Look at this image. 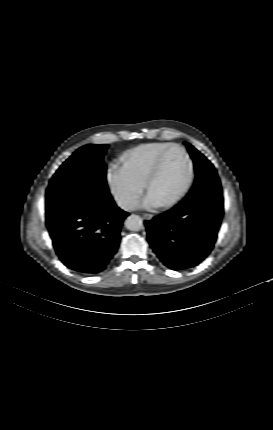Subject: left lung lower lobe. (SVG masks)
Masks as SVG:
<instances>
[{
    "label": "left lung lower lobe",
    "mask_w": 273,
    "mask_h": 430,
    "mask_svg": "<svg viewBox=\"0 0 273 430\" xmlns=\"http://www.w3.org/2000/svg\"><path fill=\"white\" fill-rule=\"evenodd\" d=\"M222 216L220 181L206 179L173 209L145 222L148 241L167 267H194L213 249Z\"/></svg>",
    "instance_id": "left-lung-lower-lobe-1"
}]
</instances>
